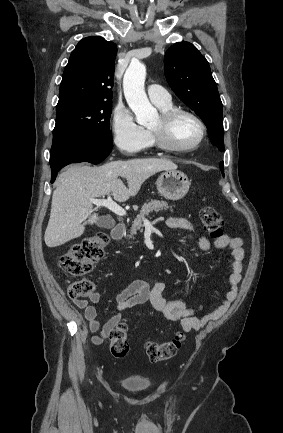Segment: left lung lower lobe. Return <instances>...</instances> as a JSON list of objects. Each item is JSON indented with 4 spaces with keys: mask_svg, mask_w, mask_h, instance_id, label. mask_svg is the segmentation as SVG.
Segmentation results:
<instances>
[{
    "mask_svg": "<svg viewBox=\"0 0 283 433\" xmlns=\"http://www.w3.org/2000/svg\"><path fill=\"white\" fill-rule=\"evenodd\" d=\"M219 166H220L221 172H222V174H223V176H224V166H223V162H220Z\"/></svg>",
    "mask_w": 283,
    "mask_h": 433,
    "instance_id": "1",
    "label": "left lung lower lobe"
}]
</instances>
